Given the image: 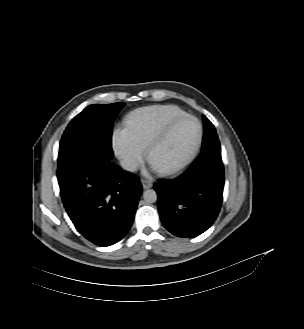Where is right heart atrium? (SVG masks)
I'll use <instances>...</instances> for the list:
<instances>
[{
    "label": "right heart atrium",
    "instance_id": "d8ad5b80",
    "mask_svg": "<svg viewBox=\"0 0 304 329\" xmlns=\"http://www.w3.org/2000/svg\"><path fill=\"white\" fill-rule=\"evenodd\" d=\"M113 148L116 155L131 169L141 167L144 153L133 141L126 129L118 128L113 133Z\"/></svg>",
    "mask_w": 304,
    "mask_h": 329
}]
</instances>
